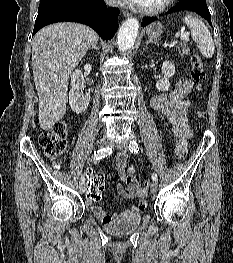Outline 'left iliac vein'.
Masks as SVG:
<instances>
[{
	"mask_svg": "<svg viewBox=\"0 0 233 263\" xmlns=\"http://www.w3.org/2000/svg\"><path fill=\"white\" fill-rule=\"evenodd\" d=\"M116 147L122 151H127L128 150V143L126 141H121L117 142ZM158 191V183L157 181H153L151 184V193L155 194Z\"/></svg>",
	"mask_w": 233,
	"mask_h": 263,
	"instance_id": "obj_1",
	"label": "left iliac vein"
}]
</instances>
